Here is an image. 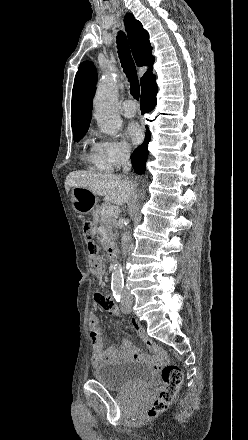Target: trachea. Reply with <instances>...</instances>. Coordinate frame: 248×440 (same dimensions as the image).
<instances>
[{
  "mask_svg": "<svg viewBox=\"0 0 248 440\" xmlns=\"http://www.w3.org/2000/svg\"><path fill=\"white\" fill-rule=\"evenodd\" d=\"M116 42H117V48H118V54H119L121 66L128 78V81L130 82L131 95L136 100H139L140 86H139L135 63L131 55V51L126 35L122 32H119Z\"/></svg>",
  "mask_w": 248,
  "mask_h": 440,
  "instance_id": "obj_1",
  "label": "trachea"
}]
</instances>
